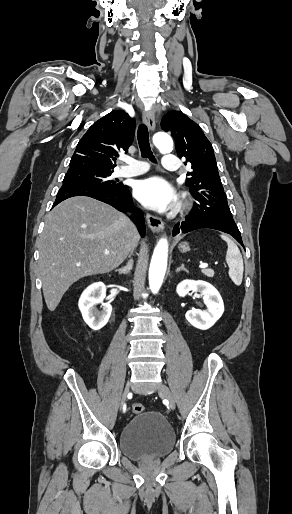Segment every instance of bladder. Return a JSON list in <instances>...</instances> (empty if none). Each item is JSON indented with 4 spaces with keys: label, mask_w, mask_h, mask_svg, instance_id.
Listing matches in <instances>:
<instances>
[{
    "label": "bladder",
    "mask_w": 292,
    "mask_h": 514,
    "mask_svg": "<svg viewBox=\"0 0 292 514\" xmlns=\"http://www.w3.org/2000/svg\"><path fill=\"white\" fill-rule=\"evenodd\" d=\"M175 433L157 411H144L133 416L122 428L118 446L132 460H149L168 454L175 445Z\"/></svg>",
    "instance_id": "31cf9c89"
}]
</instances>
